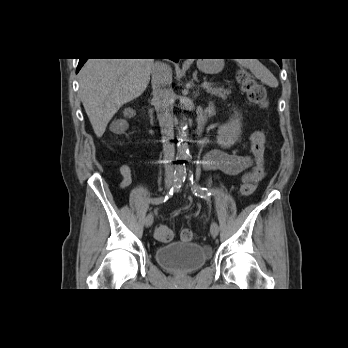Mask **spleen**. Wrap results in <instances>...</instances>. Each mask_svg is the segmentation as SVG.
I'll use <instances>...</instances> for the list:
<instances>
[{"label":"spleen","instance_id":"spleen-1","mask_svg":"<svg viewBox=\"0 0 348 348\" xmlns=\"http://www.w3.org/2000/svg\"><path fill=\"white\" fill-rule=\"evenodd\" d=\"M238 63L249 69L262 83L273 88L278 86V81L274 75L257 59H239Z\"/></svg>","mask_w":348,"mask_h":348}]
</instances>
